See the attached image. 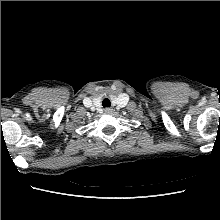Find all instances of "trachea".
Here are the masks:
<instances>
[{"label": "trachea", "instance_id": "3493384b", "mask_svg": "<svg viewBox=\"0 0 220 220\" xmlns=\"http://www.w3.org/2000/svg\"><path fill=\"white\" fill-rule=\"evenodd\" d=\"M111 103H110V100L105 98L102 102V106L103 107H110Z\"/></svg>", "mask_w": 220, "mask_h": 220}]
</instances>
